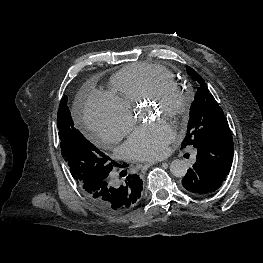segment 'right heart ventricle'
<instances>
[{
    "label": "right heart ventricle",
    "mask_w": 263,
    "mask_h": 263,
    "mask_svg": "<svg viewBox=\"0 0 263 263\" xmlns=\"http://www.w3.org/2000/svg\"><path fill=\"white\" fill-rule=\"evenodd\" d=\"M163 81H174L166 67L156 63L129 64L112 77V95L131 110Z\"/></svg>",
    "instance_id": "e07e8e85"
}]
</instances>
